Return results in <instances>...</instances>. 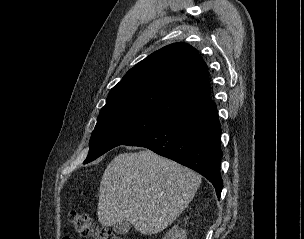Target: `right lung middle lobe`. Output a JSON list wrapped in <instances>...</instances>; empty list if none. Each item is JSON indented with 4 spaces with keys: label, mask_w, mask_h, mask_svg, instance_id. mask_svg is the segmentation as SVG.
<instances>
[{
    "label": "right lung middle lobe",
    "mask_w": 304,
    "mask_h": 239,
    "mask_svg": "<svg viewBox=\"0 0 304 239\" xmlns=\"http://www.w3.org/2000/svg\"><path fill=\"white\" fill-rule=\"evenodd\" d=\"M167 116L145 109H120L100 114L91 135L89 163L110 149L152 130L166 122Z\"/></svg>",
    "instance_id": "dd1d6c3e"
}]
</instances>
